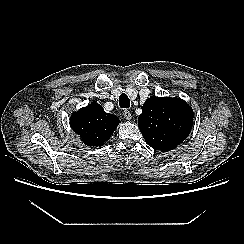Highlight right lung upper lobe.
Wrapping results in <instances>:
<instances>
[{
	"label": "right lung upper lobe",
	"mask_w": 244,
	"mask_h": 244,
	"mask_svg": "<svg viewBox=\"0 0 244 244\" xmlns=\"http://www.w3.org/2000/svg\"><path fill=\"white\" fill-rule=\"evenodd\" d=\"M119 122L115 115L106 113L98 103L81 108L70 119L73 131L90 147L102 146L108 141Z\"/></svg>",
	"instance_id": "right-lung-upper-lobe-1"
}]
</instances>
